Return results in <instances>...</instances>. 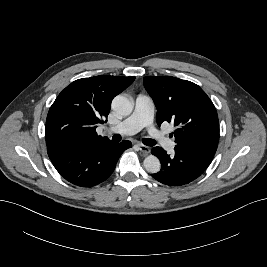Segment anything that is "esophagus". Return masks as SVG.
I'll use <instances>...</instances> for the list:
<instances>
[{
  "mask_svg": "<svg viewBox=\"0 0 267 267\" xmlns=\"http://www.w3.org/2000/svg\"><path fill=\"white\" fill-rule=\"evenodd\" d=\"M137 146H138V149L144 154H148L150 152V148L148 146H145L143 144H137Z\"/></svg>",
  "mask_w": 267,
  "mask_h": 267,
  "instance_id": "obj_1",
  "label": "esophagus"
}]
</instances>
